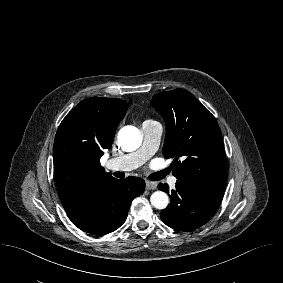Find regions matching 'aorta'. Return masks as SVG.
Here are the masks:
<instances>
[{"mask_svg": "<svg viewBox=\"0 0 283 283\" xmlns=\"http://www.w3.org/2000/svg\"><path fill=\"white\" fill-rule=\"evenodd\" d=\"M118 143L124 151L131 152L138 149L142 143V135L138 128L134 126H124L118 132ZM150 201L156 209H165L169 204V197L163 191L154 192Z\"/></svg>", "mask_w": 283, "mask_h": 283, "instance_id": "obj_1", "label": "aorta"}]
</instances>
